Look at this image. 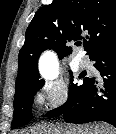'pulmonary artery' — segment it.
I'll return each instance as SVG.
<instances>
[{"mask_svg":"<svg viewBox=\"0 0 116 134\" xmlns=\"http://www.w3.org/2000/svg\"><path fill=\"white\" fill-rule=\"evenodd\" d=\"M79 66L83 69H88V68H91V62L89 61L88 58L86 57H83L80 59L79 61Z\"/></svg>","mask_w":116,"mask_h":134,"instance_id":"obj_1","label":"pulmonary artery"}]
</instances>
